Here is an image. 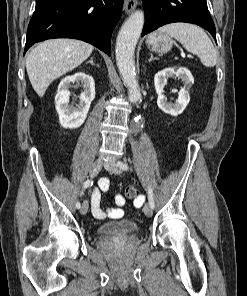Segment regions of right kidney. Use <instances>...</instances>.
<instances>
[{
	"label": "right kidney",
	"mask_w": 247,
	"mask_h": 296,
	"mask_svg": "<svg viewBox=\"0 0 247 296\" xmlns=\"http://www.w3.org/2000/svg\"><path fill=\"white\" fill-rule=\"evenodd\" d=\"M82 83L83 92L80 94V100L77 107L69 105L71 83ZM95 98V83L92 76L77 72L73 75L63 78L58 86L55 96V107L59 115V121L62 127L74 129L80 127L90 108V104Z\"/></svg>",
	"instance_id": "ca27d5eb"
}]
</instances>
